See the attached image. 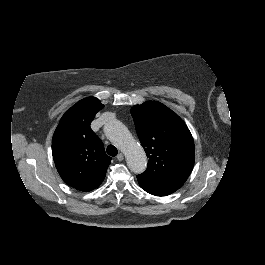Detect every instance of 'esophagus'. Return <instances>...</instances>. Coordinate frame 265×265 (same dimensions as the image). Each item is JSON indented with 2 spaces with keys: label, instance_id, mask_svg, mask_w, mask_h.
Instances as JSON below:
<instances>
[{
  "label": "esophagus",
  "instance_id": "1",
  "mask_svg": "<svg viewBox=\"0 0 265 265\" xmlns=\"http://www.w3.org/2000/svg\"><path fill=\"white\" fill-rule=\"evenodd\" d=\"M117 159H118V161H122V160L124 159V155H123V153H119V154L117 155Z\"/></svg>",
  "mask_w": 265,
  "mask_h": 265
}]
</instances>
